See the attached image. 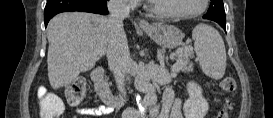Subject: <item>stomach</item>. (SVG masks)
Instances as JSON below:
<instances>
[{"label": "stomach", "instance_id": "1", "mask_svg": "<svg viewBox=\"0 0 273 118\" xmlns=\"http://www.w3.org/2000/svg\"><path fill=\"white\" fill-rule=\"evenodd\" d=\"M143 30L160 46L175 48L184 38V33L173 25L154 24Z\"/></svg>", "mask_w": 273, "mask_h": 118}]
</instances>
